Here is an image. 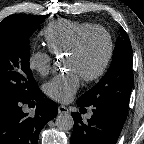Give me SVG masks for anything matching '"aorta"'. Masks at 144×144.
Segmentation results:
<instances>
[{"label":"aorta","instance_id":"762f6f07","mask_svg":"<svg viewBox=\"0 0 144 144\" xmlns=\"http://www.w3.org/2000/svg\"><path fill=\"white\" fill-rule=\"evenodd\" d=\"M74 120L69 113H61L56 117V126L62 131H68L73 128Z\"/></svg>","mask_w":144,"mask_h":144}]
</instances>
